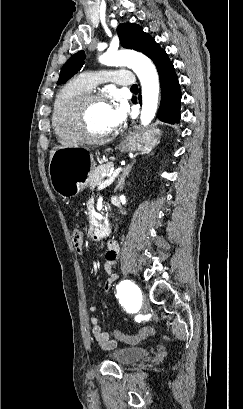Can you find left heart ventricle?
<instances>
[{"mask_svg":"<svg viewBox=\"0 0 243 409\" xmlns=\"http://www.w3.org/2000/svg\"><path fill=\"white\" fill-rule=\"evenodd\" d=\"M109 113L110 105L108 102L97 101L90 105L87 112V123L93 134L101 135L111 131Z\"/></svg>","mask_w":243,"mask_h":409,"instance_id":"obj_1","label":"left heart ventricle"}]
</instances>
